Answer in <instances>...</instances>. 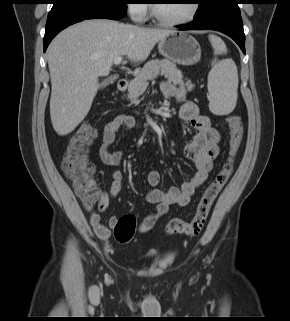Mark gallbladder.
I'll return each instance as SVG.
<instances>
[{"instance_id":"bac80fb5","label":"gallbladder","mask_w":290,"mask_h":321,"mask_svg":"<svg viewBox=\"0 0 290 321\" xmlns=\"http://www.w3.org/2000/svg\"><path fill=\"white\" fill-rule=\"evenodd\" d=\"M108 82H109V80H105L104 82L101 83L100 87L101 88L105 87Z\"/></svg>"}]
</instances>
